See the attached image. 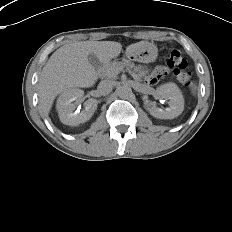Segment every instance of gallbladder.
<instances>
[{
    "label": "gallbladder",
    "mask_w": 232,
    "mask_h": 232,
    "mask_svg": "<svg viewBox=\"0 0 232 232\" xmlns=\"http://www.w3.org/2000/svg\"><path fill=\"white\" fill-rule=\"evenodd\" d=\"M88 60L95 69H98L101 65L99 58L93 53H90L88 55Z\"/></svg>",
    "instance_id": "1"
}]
</instances>
